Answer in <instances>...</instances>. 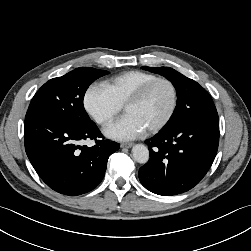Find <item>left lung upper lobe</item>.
Returning <instances> with one entry per match:
<instances>
[{"label": "left lung upper lobe", "mask_w": 251, "mask_h": 251, "mask_svg": "<svg viewBox=\"0 0 251 251\" xmlns=\"http://www.w3.org/2000/svg\"><path fill=\"white\" fill-rule=\"evenodd\" d=\"M153 73L160 74L170 80L177 92V105L168 123L162 129L174 127L184 117L183 110L190 106L189 101L194 99V96L201 92H207L197 82L189 79L169 67H142Z\"/></svg>", "instance_id": "1"}]
</instances>
